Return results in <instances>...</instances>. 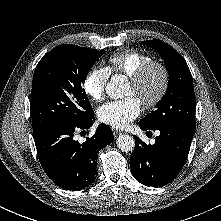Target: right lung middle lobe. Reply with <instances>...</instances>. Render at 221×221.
Masks as SVG:
<instances>
[{
  "label": "right lung middle lobe",
  "instance_id": "obj_1",
  "mask_svg": "<svg viewBox=\"0 0 221 221\" xmlns=\"http://www.w3.org/2000/svg\"><path fill=\"white\" fill-rule=\"evenodd\" d=\"M103 54L104 51L63 44L39 61L31 91L33 131L55 123H78L94 115L83 85Z\"/></svg>",
  "mask_w": 221,
  "mask_h": 221
}]
</instances>
